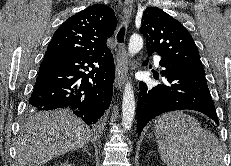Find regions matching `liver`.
I'll return each instance as SVG.
<instances>
[{
  "instance_id": "obj_1",
  "label": "liver",
  "mask_w": 231,
  "mask_h": 166,
  "mask_svg": "<svg viewBox=\"0 0 231 166\" xmlns=\"http://www.w3.org/2000/svg\"><path fill=\"white\" fill-rule=\"evenodd\" d=\"M92 139L90 128L67 110L42 112L21 127L16 143L19 166H42L84 147Z\"/></svg>"
}]
</instances>
